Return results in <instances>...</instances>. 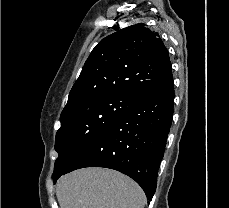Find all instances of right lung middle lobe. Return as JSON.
Masks as SVG:
<instances>
[{"label":"right lung middle lobe","instance_id":"1","mask_svg":"<svg viewBox=\"0 0 229 208\" xmlns=\"http://www.w3.org/2000/svg\"><path fill=\"white\" fill-rule=\"evenodd\" d=\"M137 102L129 96L105 95L78 104L61 116V127L55 140V150L59 156L52 177L60 176L86 144Z\"/></svg>","mask_w":229,"mask_h":208}]
</instances>
